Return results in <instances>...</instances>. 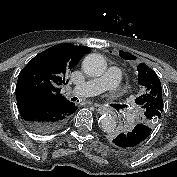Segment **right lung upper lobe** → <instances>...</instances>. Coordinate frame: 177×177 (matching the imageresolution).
Returning a JSON list of instances; mask_svg holds the SVG:
<instances>
[{
  "instance_id": "cb5924a9",
  "label": "right lung upper lobe",
  "mask_w": 177,
  "mask_h": 177,
  "mask_svg": "<svg viewBox=\"0 0 177 177\" xmlns=\"http://www.w3.org/2000/svg\"><path fill=\"white\" fill-rule=\"evenodd\" d=\"M89 51L90 48L86 46L63 43L38 54L20 72L16 85V97L67 101L60 94V87L65 84L69 71Z\"/></svg>"
}]
</instances>
